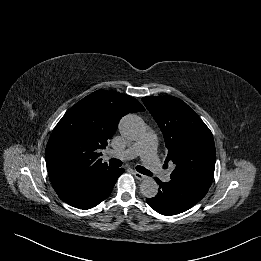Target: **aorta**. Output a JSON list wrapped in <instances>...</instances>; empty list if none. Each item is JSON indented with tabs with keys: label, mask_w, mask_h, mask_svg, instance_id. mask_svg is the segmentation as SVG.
Masks as SVG:
<instances>
[{
	"label": "aorta",
	"mask_w": 261,
	"mask_h": 261,
	"mask_svg": "<svg viewBox=\"0 0 261 261\" xmlns=\"http://www.w3.org/2000/svg\"><path fill=\"white\" fill-rule=\"evenodd\" d=\"M119 131L123 137L136 140L145 131L143 121L137 115H127L120 121ZM140 192L146 198H153L158 193V184L152 178L144 179L140 184Z\"/></svg>",
	"instance_id": "aorta-1"
}]
</instances>
